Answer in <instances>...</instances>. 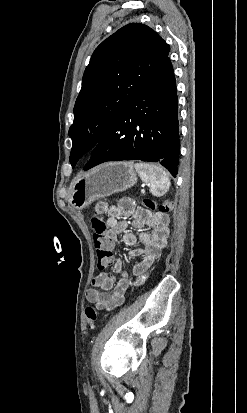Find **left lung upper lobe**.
I'll return each instance as SVG.
<instances>
[{
  "label": "left lung upper lobe",
  "instance_id": "1",
  "mask_svg": "<svg viewBox=\"0 0 247 413\" xmlns=\"http://www.w3.org/2000/svg\"><path fill=\"white\" fill-rule=\"evenodd\" d=\"M169 51L170 46L154 30L140 23L122 27L95 49L69 129L72 167L95 148Z\"/></svg>",
  "mask_w": 247,
  "mask_h": 413
}]
</instances>
